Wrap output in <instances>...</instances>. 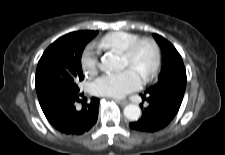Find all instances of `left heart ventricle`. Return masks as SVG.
Listing matches in <instances>:
<instances>
[{
	"instance_id": "1",
	"label": "left heart ventricle",
	"mask_w": 225,
	"mask_h": 155,
	"mask_svg": "<svg viewBox=\"0 0 225 155\" xmlns=\"http://www.w3.org/2000/svg\"><path fill=\"white\" fill-rule=\"evenodd\" d=\"M123 68H131L135 70L142 78L150 69L153 62V52L148 45H142L134 59L129 61L127 58H121Z\"/></svg>"
}]
</instances>
